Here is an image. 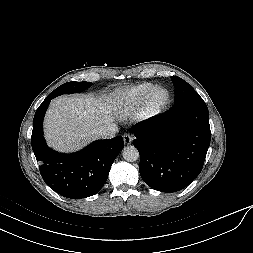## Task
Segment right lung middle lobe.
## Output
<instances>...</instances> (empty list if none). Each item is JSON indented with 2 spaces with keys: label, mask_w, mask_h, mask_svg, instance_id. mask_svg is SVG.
I'll return each mask as SVG.
<instances>
[{
  "label": "right lung middle lobe",
  "mask_w": 253,
  "mask_h": 253,
  "mask_svg": "<svg viewBox=\"0 0 253 253\" xmlns=\"http://www.w3.org/2000/svg\"><path fill=\"white\" fill-rule=\"evenodd\" d=\"M91 86V82H67L56 88L51 94L55 97L62 94L81 92Z\"/></svg>",
  "instance_id": "right-lung-middle-lobe-1"
}]
</instances>
